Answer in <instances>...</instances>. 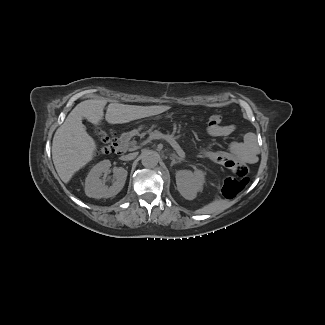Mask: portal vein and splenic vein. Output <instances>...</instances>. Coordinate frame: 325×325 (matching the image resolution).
<instances>
[{"label":"portal vein and splenic vein","instance_id":"1","mask_svg":"<svg viewBox=\"0 0 325 325\" xmlns=\"http://www.w3.org/2000/svg\"><path fill=\"white\" fill-rule=\"evenodd\" d=\"M163 137H164V136H162V138H163ZM169 140H170L171 145L177 149L178 154L181 156V158H184L185 153H184L183 150L180 148V146L177 144V142H176L174 139H172V138H170Z\"/></svg>","mask_w":325,"mask_h":325}]
</instances>
